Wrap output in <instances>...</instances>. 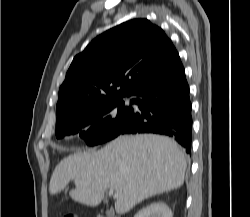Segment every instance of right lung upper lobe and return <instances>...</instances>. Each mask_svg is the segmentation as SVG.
<instances>
[{
	"label": "right lung upper lobe",
	"instance_id": "1",
	"mask_svg": "<svg viewBox=\"0 0 250 217\" xmlns=\"http://www.w3.org/2000/svg\"><path fill=\"white\" fill-rule=\"evenodd\" d=\"M178 59L164 31L147 19L104 32L74 57L59 89L56 123L94 105L135 95Z\"/></svg>",
	"mask_w": 250,
	"mask_h": 217
}]
</instances>
